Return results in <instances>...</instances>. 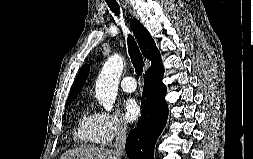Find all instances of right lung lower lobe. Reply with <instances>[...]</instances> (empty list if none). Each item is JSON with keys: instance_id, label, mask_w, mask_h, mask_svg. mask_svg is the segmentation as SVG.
Instances as JSON below:
<instances>
[{"instance_id": "98d812e1", "label": "right lung lower lobe", "mask_w": 253, "mask_h": 159, "mask_svg": "<svg viewBox=\"0 0 253 159\" xmlns=\"http://www.w3.org/2000/svg\"><path fill=\"white\" fill-rule=\"evenodd\" d=\"M163 70L147 71L141 99L142 113L129 134L125 150L129 159H153L154 146L162 132L167 116L166 86L162 83Z\"/></svg>"}]
</instances>
